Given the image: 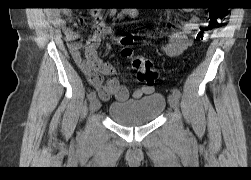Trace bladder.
I'll return each mask as SVG.
<instances>
[{"mask_svg": "<svg viewBox=\"0 0 251 180\" xmlns=\"http://www.w3.org/2000/svg\"><path fill=\"white\" fill-rule=\"evenodd\" d=\"M166 99L153 93L139 100L113 102L109 106L110 118L119 125L138 127L155 121L165 110Z\"/></svg>", "mask_w": 251, "mask_h": 180, "instance_id": "obj_1", "label": "bladder"}]
</instances>
